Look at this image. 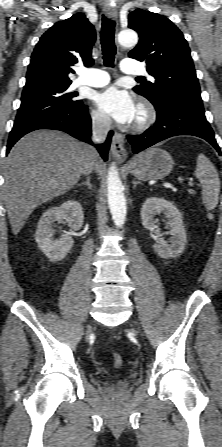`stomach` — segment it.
<instances>
[{"mask_svg": "<svg viewBox=\"0 0 222 447\" xmlns=\"http://www.w3.org/2000/svg\"><path fill=\"white\" fill-rule=\"evenodd\" d=\"M171 155L160 148H150L137 155L128 165V171L139 180L162 179L173 169Z\"/></svg>", "mask_w": 222, "mask_h": 447, "instance_id": "0dacf381", "label": "stomach"}]
</instances>
